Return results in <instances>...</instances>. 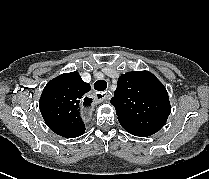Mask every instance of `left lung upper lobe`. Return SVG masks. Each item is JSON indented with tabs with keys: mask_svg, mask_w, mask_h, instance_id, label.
Here are the masks:
<instances>
[{
	"mask_svg": "<svg viewBox=\"0 0 209 179\" xmlns=\"http://www.w3.org/2000/svg\"><path fill=\"white\" fill-rule=\"evenodd\" d=\"M111 104L119 122L152 134L164 126L171 112L166 88L148 71L122 74Z\"/></svg>",
	"mask_w": 209,
	"mask_h": 179,
	"instance_id": "left-lung-upper-lobe-1",
	"label": "left lung upper lobe"
}]
</instances>
